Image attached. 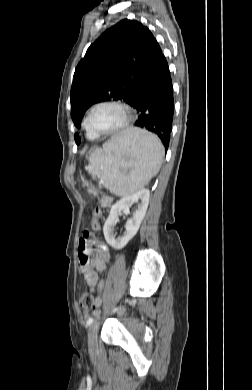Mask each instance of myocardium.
<instances>
[{
  "mask_svg": "<svg viewBox=\"0 0 252 390\" xmlns=\"http://www.w3.org/2000/svg\"><path fill=\"white\" fill-rule=\"evenodd\" d=\"M101 106H114V107L118 108L123 114L122 121L114 128L106 130V131H99V130L94 129L91 126V118H92L93 112L98 107H101ZM132 118H133V110L128 104H126L125 102L119 101V100H105V101L98 102L92 106V108L90 109V111L87 115L86 124H87V128L90 131H92L93 133H95L96 135L108 136V135H113V134L120 132V131L124 130L125 128H127L128 125L130 124Z\"/></svg>",
  "mask_w": 252,
  "mask_h": 390,
  "instance_id": "obj_1",
  "label": "myocardium"
}]
</instances>
